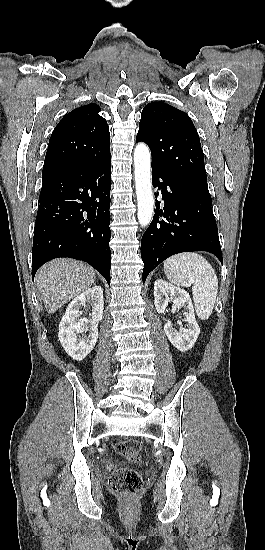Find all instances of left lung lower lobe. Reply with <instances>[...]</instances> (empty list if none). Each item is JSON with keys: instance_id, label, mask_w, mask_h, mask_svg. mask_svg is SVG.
<instances>
[{"instance_id": "1", "label": "left lung lower lobe", "mask_w": 265, "mask_h": 550, "mask_svg": "<svg viewBox=\"0 0 265 550\" xmlns=\"http://www.w3.org/2000/svg\"><path fill=\"white\" fill-rule=\"evenodd\" d=\"M153 186L162 194L164 207L156 201L153 220L141 240L143 283L166 258L187 251H207L223 263L211 196L173 177L152 164Z\"/></svg>"}]
</instances>
